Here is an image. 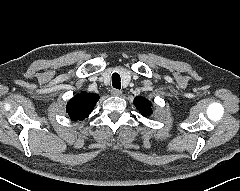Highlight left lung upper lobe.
Masks as SVG:
<instances>
[{"label": "left lung upper lobe", "mask_w": 240, "mask_h": 191, "mask_svg": "<svg viewBox=\"0 0 240 191\" xmlns=\"http://www.w3.org/2000/svg\"><path fill=\"white\" fill-rule=\"evenodd\" d=\"M135 107L140 111L143 116H149L152 114L151 102L144 97H136L134 99Z\"/></svg>", "instance_id": "1"}]
</instances>
